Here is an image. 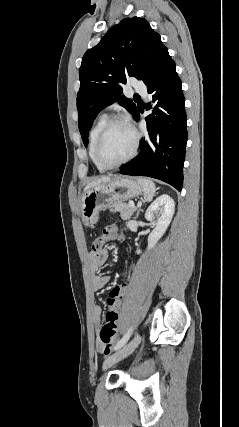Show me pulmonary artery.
Returning <instances> with one entry per match:
<instances>
[{"label": "pulmonary artery", "mask_w": 239, "mask_h": 427, "mask_svg": "<svg viewBox=\"0 0 239 427\" xmlns=\"http://www.w3.org/2000/svg\"><path fill=\"white\" fill-rule=\"evenodd\" d=\"M133 87H134V90H135L136 92L141 93V94H143V95H146V93H147V88H146V86H145V84H144V83H142V82H137V83H135V84L133 85Z\"/></svg>", "instance_id": "e3ab8cb5"}]
</instances>
